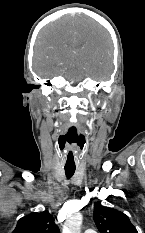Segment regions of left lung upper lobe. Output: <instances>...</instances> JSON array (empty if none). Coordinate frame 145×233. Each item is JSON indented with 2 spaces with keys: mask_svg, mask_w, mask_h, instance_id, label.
<instances>
[{
  "mask_svg": "<svg viewBox=\"0 0 145 233\" xmlns=\"http://www.w3.org/2000/svg\"><path fill=\"white\" fill-rule=\"evenodd\" d=\"M93 217L100 233H138L127 215L99 203L95 206Z\"/></svg>",
  "mask_w": 145,
  "mask_h": 233,
  "instance_id": "5c2ea615",
  "label": "left lung upper lobe"
}]
</instances>
